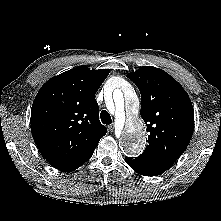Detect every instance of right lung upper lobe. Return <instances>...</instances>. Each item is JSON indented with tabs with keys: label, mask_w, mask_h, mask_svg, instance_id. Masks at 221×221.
Wrapping results in <instances>:
<instances>
[{
	"label": "right lung upper lobe",
	"mask_w": 221,
	"mask_h": 221,
	"mask_svg": "<svg viewBox=\"0 0 221 221\" xmlns=\"http://www.w3.org/2000/svg\"><path fill=\"white\" fill-rule=\"evenodd\" d=\"M109 70L79 66L48 80L31 109V131L43 157L56 169L95 149L107 129L95 93Z\"/></svg>",
	"instance_id": "cb5924a9"
}]
</instances>
